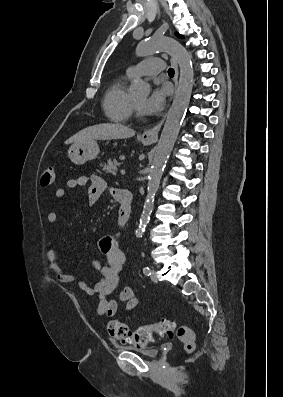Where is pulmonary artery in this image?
Here are the masks:
<instances>
[{"instance_id": "1", "label": "pulmonary artery", "mask_w": 283, "mask_h": 397, "mask_svg": "<svg viewBox=\"0 0 283 397\" xmlns=\"http://www.w3.org/2000/svg\"><path fill=\"white\" fill-rule=\"evenodd\" d=\"M164 69V63L157 57L147 58L137 65L131 66L127 69L126 73L129 77L134 76H154Z\"/></svg>"}]
</instances>
